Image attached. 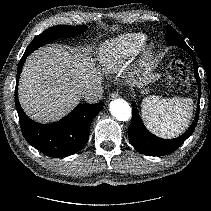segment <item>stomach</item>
Segmentation results:
<instances>
[{
	"instance_id": "obj_1",
	"label": "stomach",
	"mask_w": 211,
	"mask_h": 211,
	"mask_svg": "<svg viewBox=\"0 0 211 211\" xmlns=\"http://www.w3.org/2000/svg\"><path fill=\"white\" fill-rule=\"evenodd\" d=\"M139 87L142 88V93H146L148 91L147 88H145V83H141Z\"/></svg>"
}]
</instances>
